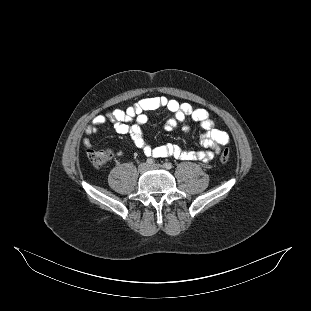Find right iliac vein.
I'll return each mask as SVG.
<instances>
[{"instance_id":"right-iliac-vein-1","label":"right iliac vein","mask_w":311,"mask_h":311,"mask_svg":"<svg viewBox=\"0 0 311 311\" xmlns=\"http://www.w3.org/2000/svg\"><path fill=\"white\" fill-rule=\"evenodd\" d=\"M148 170V165L146 163H141L139 166H138V171L140 173H144Z\"/></svg>"}]
</instances>
